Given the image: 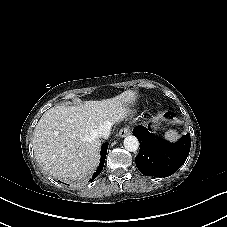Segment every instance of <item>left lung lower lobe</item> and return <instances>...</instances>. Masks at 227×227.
<instances>
[{"mask_svg": "<svg viewBox=\"0 0 227 227\" xmlns=\"http://www.w3.org/2000/svg\"><path fill=\"white\" fill-rule=\"evenodd\" d=\"M166 116L173 117L169 111ZM151 129L137 126L133 134L140 141L136 166L145 176L167 177L175 173L186 161L190 146V134L182 136L176 143H168L150 133Z\"/></svg>", "mask_w": 227, "mask_h": 227, "instance_id": "0a47b994", "label": "left lung lower lobe"}]
</instances>
